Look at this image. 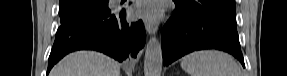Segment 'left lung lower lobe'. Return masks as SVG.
<instances>
[{
  "mask_svg": "<svg viewBox=\"0 0 287 76\" xmlns=\"http://www.w3.org/2000/svg\"><path fill=\"white\" fill-rule=\"evenodd\" d=\"M163 62L173 61L195 50L218 49L232 54L243 66L237 31L227 29L207 16L176 5L162 30Z\"/></svg>",
  "mask_w": 287,
  "mask_h": 76,
  "instance_id": "left-lung-lower-lobe-1",
  "label": "left lung lower lobe"
}]
</instances>
